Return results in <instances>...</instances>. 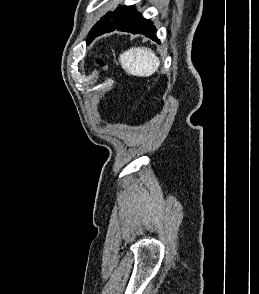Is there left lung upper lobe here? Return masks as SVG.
Segmentation results:
<instances>
[{"instance_id":"1","label":"left lung upper lobe","mask_w":259,"mask_h":294,"mask_svg":"<svg viewBox=\"0 0 259 294\" xmlns=\"http://www.w3.org/2000/svg\"><path fill=\"white\" fill-rule=\"evenodd\" d=\"M111 12H108L106 15H104L96 24L95 26L91 29V32L87 38V43H90L93 39V36L96 32V30L101 26V24L105 21V19L110 15Z\"/></svg>"}]
</instances>
